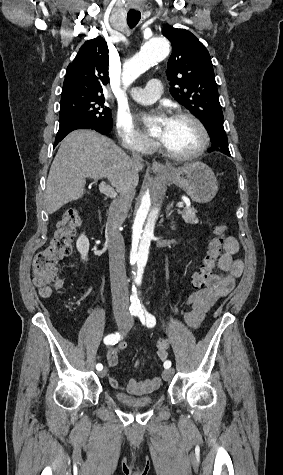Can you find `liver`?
Masks as SVG:
<instances>
[{"label":"liver","mask_w":283,"mask_h":475,"mask_svg":"<svg viewBox=\"0 0 283 475\" xmlns=\"http://www.w3.org/2000/svg\"><path fill=\"white\" fill-rule=\"evenodd\" d=\"M142 160H133L94 130H75L64 138L50 168L45 206L54 214L62 206L82 198L85 178H107L119 194H135Z\"/></svg>","instance_id":"6515ba94"}]
</instances>
